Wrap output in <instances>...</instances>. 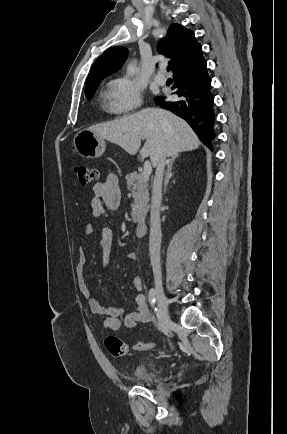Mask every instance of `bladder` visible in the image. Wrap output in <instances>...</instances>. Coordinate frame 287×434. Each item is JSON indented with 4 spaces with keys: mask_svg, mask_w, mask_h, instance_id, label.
<instances>
[{
    "mask_svg": "<svg viewBox=\"0 0 287 434\" xmlns=\"http://www.w3.org/2000/svg\"><path fill=\"white\" fill-rule=\"evenodd\" d=\"M164 373L160 363L145 362L138 365L129 378L140 385H150L158 380Z\"/></svg>",
    "mask_w": 287,
    "mask_h": 434,
    "instance_id": "obj_1",
    "label": "bladder"
}]
</instances>
